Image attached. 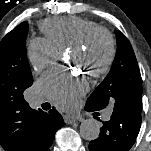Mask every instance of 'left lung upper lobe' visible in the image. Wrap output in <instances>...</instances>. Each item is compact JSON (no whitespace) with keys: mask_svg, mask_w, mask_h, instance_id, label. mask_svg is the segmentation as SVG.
Returning a JSON list of instances; mask_svg holds the SVG:
<instances>
[{"mask_svg":"<svg viewBox=\"0 0 151 151\" xmlns=\"http://www.w3.org/2000/svg\"><path fill=\"white\" fill-rule=\"evenodd\" d=\"M117 51L112 67L103 82L87 100L94 110L105 108L108 104L114 113L130 116L141 114V102L137 94L142 93V78L138 63L128 39L119 30L115 31Z\"/></svg>","mask_w":151,"mask_h":151,"instance_id":"1","label":"left lung upper lobe"}]
</instances>
